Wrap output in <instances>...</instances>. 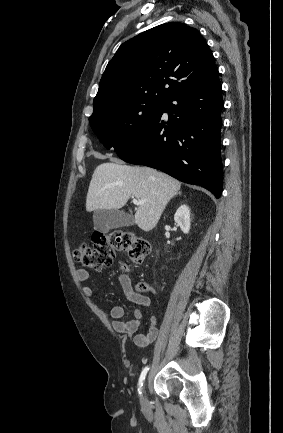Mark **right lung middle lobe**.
Masks as SVG:
<instances>
[{
	"instance_id": "1",
	"label": "right lung middle lobe",
	"mask_w": 283,
	"mask_h": 433,
	"mask_svg": "<svg viewBox=\"0 0 283 433\" xmlns=\"http://www.w3.org/2000/svg\"><path fill=\"white\" fill-rule=\"evenodd\" d=\"M162 102L138 101L115 106L90 116L89 121L102 144L117 154L138 138L161 109Z\"/></svg>"
}]
</instances>
